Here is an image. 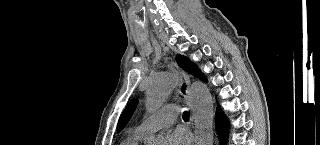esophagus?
<instances>
[{
    "mask_svg": "<svg viewBox=\"0 0 320 145\" xmlns=\"http://www.w3.org/2000/svg\"><path fill=\"white\" fill-rule=\"evenodd\" d=\"M172 70L175 71L180 76V83H179V92L184 96L188 97L189 88H190V78L184 72L180 71L177 66L172 63L171 64Z\"/></svg>",
    "mask_w": 320,
    "mask_h": 145,
    "instance_id": "34e87169",
    "label": "esophagus"
}]
</instances>
